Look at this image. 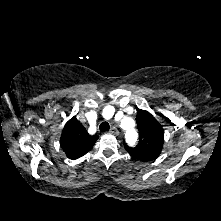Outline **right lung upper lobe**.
Wrapping results in <instances>:
<instances>
[{
    "mask_svg": "<svg viewBox=\"0 0 221 221\" xmlns=\"http://www.w3.org/2000/svg\"><path fill=\"white\" fill-rule=\"evenodd\" d=\"M98 135L91 136L74 116L64 126L60 145L69 159H77L92 149Z\"/></svg>",
    "mask_w": 221,
    "mask_h": 221,
    "instance_id": "1",
    "label": "right lung upper lobe"
}]
</instances>
